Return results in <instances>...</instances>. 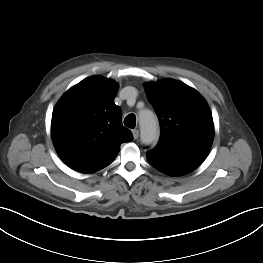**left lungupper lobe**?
Wrapping results in <instances>:
<instances>
[{
	"instance_id": "1",
	"label": "left lung upper lobe",
	"mask_w": 263,
	"mask_h": 263,
	"mask_svg": "<svg viewBox=\"0 0 263 263\" xmlns=\"http://www.w3.org/2000/svg\"><path fill=\"white\" fill-rule=\"evenodd\" d=\"M146 94L161 128L159 142L151 151L168 158L203 162L214 137L212 114L205 99L174 79L147 84Z\"/></svg>"
}]
</instances>
